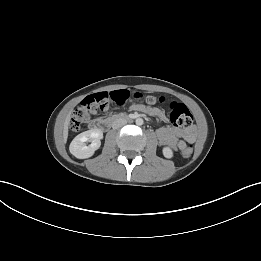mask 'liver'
<instances>
[{"label": "liver", "mask_w": 261, "mask_h": 261, "mask_svg": "<svg viewBox=\"0 0 261 261\" xmlns=\"http://www.w3.org/2000/svg\"><path fill=\"white\" fill-rule=\"evenodd\" d=\"M71 114L69 113L65 119L64 127H63V141L66 142L68 138V126L70 123Z\"/></svg>", "instance_id": "liver-1"}]
</instances>
